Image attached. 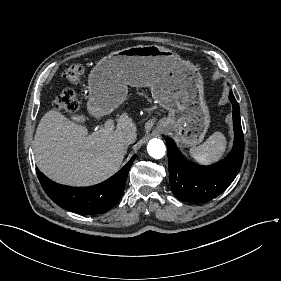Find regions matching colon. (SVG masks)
Instances as JSON below:
<instances>
[{"label": "colon", "instance_id": "5ec220e1", "mask_svg": "<svg viewBox=\"0 0 281 281\" xmlns=\"http://www.w3.org/2000/svg\"><path fill=\"white\" fill-rule=\"evenodd\" d=\"M83 65L80 63L70 64L63 72L65 81L75 83L80 80L83 75ZM78 99L73 91H63L55 100V108L57 111L75 112L78 109Z\"/></svg>", "mask_w": 281, "mask_h": 281}]
</instances>
